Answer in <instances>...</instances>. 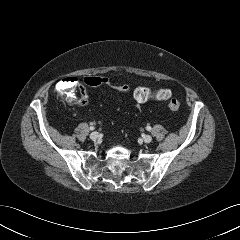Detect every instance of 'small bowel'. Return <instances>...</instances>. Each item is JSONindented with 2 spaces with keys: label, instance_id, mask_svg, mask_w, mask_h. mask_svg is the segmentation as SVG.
Wrapping results in <instances>:
<instances>
[{
  "label": "small bowel",
  "instance_id": "obj_1",
  "mask_svg": "<svg viewBox=\"0 0 240 240\" xmlns=\"http://www.w3.org/2000/svg\"><path fill=\"white\" fill-rule=\"evenodd\" d=\"M81 91L83 92L84 97H81V98H80V103H85V101H86V95H85V92H84L83 89H81ZM137 107L139 108V105H137Z\"/></svg>",
  "mask_w": 240,
  "mask_h": 240
}]
</instances>
